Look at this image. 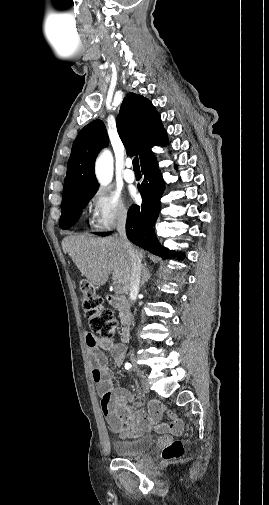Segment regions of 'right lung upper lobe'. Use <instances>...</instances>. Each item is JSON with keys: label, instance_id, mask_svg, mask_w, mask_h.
Here are the masks:
<instances>
[{"label": "right lung upper lobe", "instance_id": "obj_1", "mask_svg": "<svg viewBox=\"0 0 269 505\" xmlns=\"http://www.w3.org/2000/svg\"><path fill=\"white\" fill-rule=\"evenodd\" d=\"M117 130L127 154L139 155L141 165L153 155L151 148L154 145L167 142V134L155 107L135 93H129L122 102ZM107 145L108 135L102 121L95 120L80 131L67 164L62 202L78 193L97 189L94 162L98 152Z\"/></svg>", "mask_w": 269, "mask_h": 505}]
</instances>
